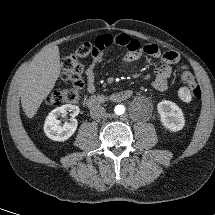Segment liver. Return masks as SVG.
<instances>
[{"instance_id": "obj_1", "label": "liver", "mask_w": 215, "mask_h": 215, "mask_svg": "<svg viewBox=\"0 0 215 215\" xmlns=\"http://www.w3.org/2000/svg\"><path fill=\"white\" fill-rule=\"evenodd\" d=\"M58 46H49L37 54L27 68L20 72L17 88L21 105L28 118H33L43 100L54 88L60 74Z\"/></svg>"}]
</instances>
